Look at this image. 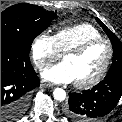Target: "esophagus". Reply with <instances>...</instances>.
I'll return each instance as SVG.
<instances>
[{"mask_svg": "<svg viewBox=\"0 0 122 122\" xmlns=\"http://www.w3.org/2000/svg\"><path fill=\"white\" fill-rule=\"evenodd\" d=\"M41 85L43 87H45V88H50V89H53L54 88V86L52 84H50V83H42Z\"/></svg>", "mask_w": 122, "mask_h": 122, "instance_id": "esophagus-1", "label": "esophagus"}]
</instances>
